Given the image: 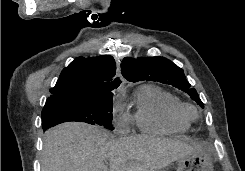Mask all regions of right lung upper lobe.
<instances>
[{
    "instance_id": "right-lung-upper-lobe-1",
    "label": "right lung upper lobe",
    "mask_w": 245,
    "mask_h": 171,
    "mask_svg": "<svg viewBox=\"0 0 245 171\" xmlns=\"http://www.w3.org/2000/svg\"><path fill=\"white\" fill-rule=\"evenodd\" d=\"M116 73L115 60L110 55L78 57L64 68L51 96L46 102L59 100H90L112 95L120 84Z\"/></svg>"
}]
</instances>
